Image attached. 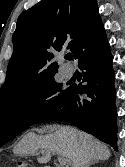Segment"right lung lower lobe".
<instances>
[{"label": "right lung lower lobe", "instance_id": "right-lung-lower-lobe-1", "mask_svg": "<svg viewBox=\"0 0 125 167\" xmlns=\"http://www.w3.org/2000/svg\"><path fill=\"white\" fill-rule=\"evenodd\" d=\"M113 57L105 30L84 47L78 58L86 85H71L65 99L54 103L34 124L66 121L117 150Z\"/></svg>", "mask_w": 125, "mask_h": 167}]
</instances>
